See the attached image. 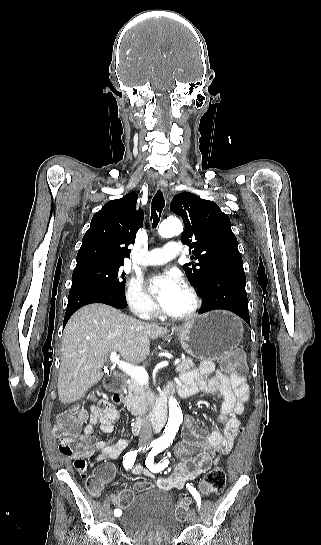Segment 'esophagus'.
Returning <instances> with one entry per match:
<instances>
[{"label": "esophagus", "instance_id": "34e87169", "mask_svg": "<svg viewBox=\"0 0 321 545\" xmlns=\"http://www.w3.org/2000/svg\"><path fill=\"white\" fill-rule=\"evenodd\" d=\"M163 189L166 191L167 190V185H163Z\"/></svg>", "mask_w": 321, "mask_h": 545}]
</instances>
